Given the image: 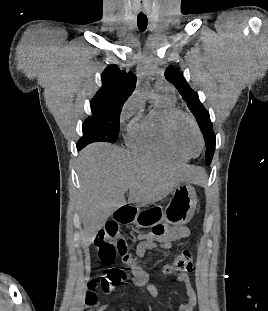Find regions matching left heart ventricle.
<instances>
[{
  "instance_id": "obj_1",
  "label": "left heart ventricle",
  "mask_w": 268,
  "mask_h": 311,
  "mask_svg": "<svg viewBox=\"0 0 268 311\" xmlns=\"http://www.w3.org/2000/svg\"><path fill=\"white\" fill-rule=\"evenodd\" d=\"M175 137L178 144L189 154L196 155L200 149V140L188 119L180 117L175 124Z\"/></svg>"
}]
</instances>
